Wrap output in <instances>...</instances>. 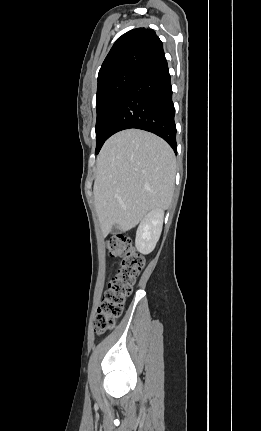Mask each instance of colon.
<instances>
[{"label":"colon","mask_w":261,"mask_h":431,"mask_svg":"<svg viewBox=\"0 0 261 431\" xmlns=\"http://www.w3.org/2000/svg\"><path fill=\"white\" fill-rule=\"evenodd\" d=\"M112 257L119 259L114 277L108 285L94 320V332L98 335L111 329L123 311L126 297L144 267L145 260L127 236H115L107 241Z\"/></svg>","instance_id":"5ec220e1"}]
</instances>
